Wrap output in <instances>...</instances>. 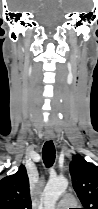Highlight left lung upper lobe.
<instances>
[{"label": "left lung upper lobe", "instance_id": "1", "mask_svg": "<svg viewBox=\"0 0 98 209\" xmlns=\"http://www.w3.org/2000/svg\"><path fill=\"white\" fill-rule=\"evenodd\" d=\"M70 174L83 209H98V167L82 156L74 155L70 163Z\"/></svg>", "mask_w": 98, "mask_h": 209}]
</instances>
